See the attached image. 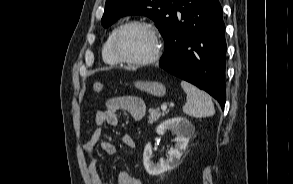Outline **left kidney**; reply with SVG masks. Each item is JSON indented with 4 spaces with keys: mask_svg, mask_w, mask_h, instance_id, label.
<instances>
[{
    "mask_svg": "<svg viewBox=\"0 0 293 184\" xmlns=\"http://www.w3.org/2000/svg\"><path fill=\"white\" fill-rule=\"evenodd\" d=\"M167 130L176 133L175 145L168 151L166 160L160 159L159 163L154 164L152 158V146L148 143L143 153V164L149 175L157 176L166 171H170L179 163L183 151H185L190 137L194 134L195 127L184 117H174L161 123L156 132L163 135Z\"/></svg>",
    "mask_w": 293,
    "mask_h": 184,
    "instance_id": "1",
    "label": "left kidney"
}]
</instances>
